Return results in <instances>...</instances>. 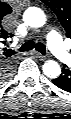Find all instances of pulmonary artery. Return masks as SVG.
Returning <instances> with one entry per match:
<instances>
[{"label": "pulmonary artery", "mask_w": 71, "mask_h": 119, "mask_svg": "<svg viewBox=\"0 0 71 119\" xmlns=\"http://www.w3.org/2000/svg\"><path fill=\"white\" fill-rule=\"evenodd\" d=\"M49 46L51 50L60 58L65 57V51L63 50L62 44L59 41L55 33H51L49 36Z\"/></svg>", "instance_id": "1"}]
</instances>
